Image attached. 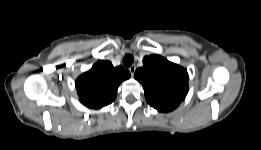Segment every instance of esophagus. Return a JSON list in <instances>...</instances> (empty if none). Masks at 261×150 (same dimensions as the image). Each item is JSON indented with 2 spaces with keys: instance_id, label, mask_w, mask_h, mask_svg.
Returning a JSON list of instances; mask_svg holds the SVG:
<instances>
[{
  "instance_id": "esophagus-1",
  "label": "esophagus",
  "mask_w": 261,
  "mask_h": 150,
  "mask_svg": "<svg viewBox=\"0 0 261 150\" xmlns=\"http://www.w3.org/2000/svg\"><path fill=\"white\" fill-rule=\"evenodd\" d=\"M135 71H136V66L135 65H132V66L129 67V72H130V74L132 76L134 75Z\"/></svg>"
}]
</instances>
